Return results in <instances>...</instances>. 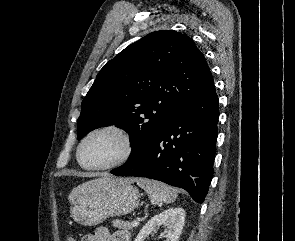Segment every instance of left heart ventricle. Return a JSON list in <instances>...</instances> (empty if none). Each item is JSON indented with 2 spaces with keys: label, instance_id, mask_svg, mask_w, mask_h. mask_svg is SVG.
<instances>
[{
  "label": "left heart ventricle",
  "instance_id": "left-heart-ventricle-1",
  "mask_svg": "<svg viewBox=\"0 0 295 241\" xmlns=\"http://www.w3.org/2000/svg\"><path fill=\"white\" fill-rule=\"evenodd\" d=\"M122 138L111 131L92 135L84 144L81 160L87 166H101L119 159L124 153Z\"/></svg>",
  "mask_w": 295,
  "mask_h": 241
}]
</instances>
